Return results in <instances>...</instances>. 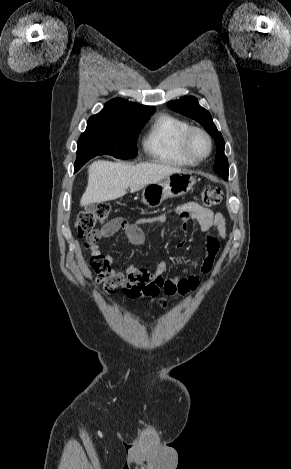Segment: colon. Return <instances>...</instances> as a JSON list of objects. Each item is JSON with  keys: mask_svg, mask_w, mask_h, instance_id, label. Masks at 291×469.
I'll return each mask as SVG.
<instances>
[{"mask_svg": "<svg viewBox=\"0 0 291 469\" xmlns=\"http://www.w3.org/2000/svg\"><path fill=\"white\" fill-rule=\"evenodd\" d=\"M223 198V191L219 187L213 189H203L200 193V201L204 206L207 207L220 204ZM110 212L111 207L108 203H100L94 210L84 211L78 215L75 223L76 231L80 237L86 238L87 245L90 246L105 236L106 225L99 228L96 226L97 224L106 222ZM90 262L96 272H102L108 267L107 264L99 258L91 257ZM118 302L122 303L123 306H126L127 302H132V299L128 298L126 302L123 301L122 298H119ZM155 305L159 306L160 302L156 301Z\"/></svg>", "mask_w": 291, "mask_h": 469, "instance_id": "colon-1", "label": "colon"}]
</instances>
